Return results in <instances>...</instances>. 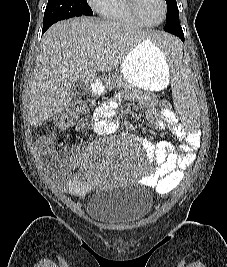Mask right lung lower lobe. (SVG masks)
I'll return each mask as SVG.
<instances>
[{
  "instance_id": "right-lung-lower-lobe-1",
  "label": "right lung lower lobe",
  "mask_w": 227,
  "mask_h": 267,
  "mask_svg": "<svg viewBox=\"0 0 227 267\" xmlns=\"http://www.w3.org/2000/svg\"><path fill=\"white\" fill-rule=\"evenodd\" d=\"M55 22H57V21H49V22L43 23L42 33H44Z\"/></svg>"
}]
</instances>
